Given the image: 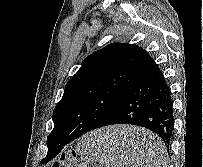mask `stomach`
Listing matches in <instances>:
<instances>
[{"instance_id":"1","label":"stomach","mask_w":203,"mask_h":167,"mask_svg":"<svg viewBox=\"0 0 203 167\" xmlns=\"http://www.w3.org/2000/svg\"><path fill=\"white\" fill-rule=\"evenodd\" d=\"M107 129H108V128H107ZM107 129H105V130H101V131H103V132H108Z\"/></svg>"}]
</instances>
